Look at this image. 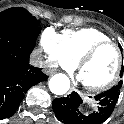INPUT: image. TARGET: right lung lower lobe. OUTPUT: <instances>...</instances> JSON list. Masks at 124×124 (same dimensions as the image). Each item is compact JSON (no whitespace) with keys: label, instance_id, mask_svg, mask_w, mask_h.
Masks as SVG:
<instances>
[{"label":"right lung lower lobe","instance_id":"98d812e1","mask_svg":"<svg viewBox=\"0 0 124 124\" xmlns=\"http://www.w3.org/2000/svg\"><path fill=\"white\" fill-rule=\"evenodd\" d=\"M40 32L39 27L0 30V120L16 112L29 88L48 79L29 63Z\"/></svg>","mask_w":124,"mask_h":124}]
</instances>
